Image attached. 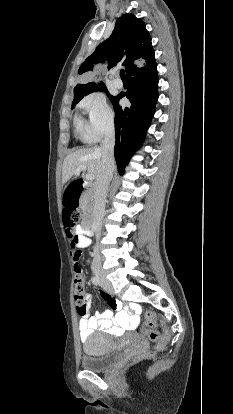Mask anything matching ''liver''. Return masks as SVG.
I'll list each match as a JSON object with an SVG mask.
<instances>
[{
    "label": "liver",
    "instance_id": "liver-1",
    "mask_svg": "<svg viewBox=\"0 0 233 414\" xmlns=\"http://www.w3.org/2000/svg\"><path fill=\"white\" fill-rule=\"evenodd\" d=\"M85 166L88 174L97 178L102 166V152L100 147L93 146L89 148L79 149L67 155L63 162L62 168V184L67 183L80 167Z\"/></svg>",
    "mask_w": 233,
    "mask_h": 414
}]
</instances>
